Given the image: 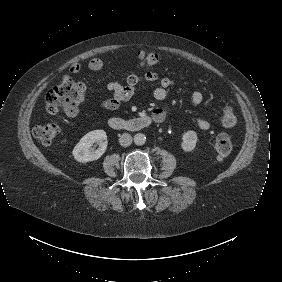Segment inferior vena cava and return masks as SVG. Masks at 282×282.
I'll list each match as a JSON object with an SVG mask.
<instances>
[{
    "instance_id": "obj_1",
    "label": "inferior vena cava",
    "mask_w": 282,
    "mask_h": 282,
    "mask_svg": "<svg viewBox=\"0 0 282 282\" xmlns=\"http://www.w3.org/2000/svg\"><path fill=\"white\" fill-rule=\"evenodd\" d=\"M119 143L123 147H128L132 143V136L128 133H123L119 138Z\"/></svg>"
}]
</instances>
